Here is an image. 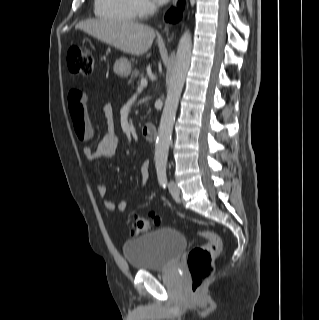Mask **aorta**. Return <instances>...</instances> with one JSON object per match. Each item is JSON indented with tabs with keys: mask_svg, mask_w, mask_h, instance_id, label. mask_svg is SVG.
<instances>
[{
	"mask_svg": "<svg viewBox=\"0 0 319 320\" xmlns=\"http://www.w3.org/2000/svg\"><path fill=\"white\" fill-rule=\"evenodd\" d=\"M191 50L192 37L190 32L186 30L179 41L175 64L160 120L155 148L156 167H165L167 163L176 111L190 66Z\"/></svg>",
	"mask_w": 319,
	"mask_h": 320,
	"instance_id": "1",
	"label": "aorta"
}]
</instances>
